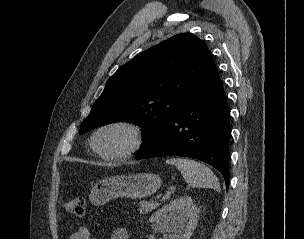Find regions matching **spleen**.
I'll return each mask as SVG.
<instances>
[{
	"label": "spleen",
	"mask_w": 304,
	"mask_h": 239,
	"mask_svg": "<svg viewBox=\"0 0 304 239\" xmlns=\"http://www.w3.org/2000/svg\"><path fill=\"white\" fill-rule=\"evenodd\" d=\"M166 163L175 165L189 186L220 190L217 177L206 165L186 158H170Z\"/></svg>",
	"instance_id": "1"
}]
</instances>
